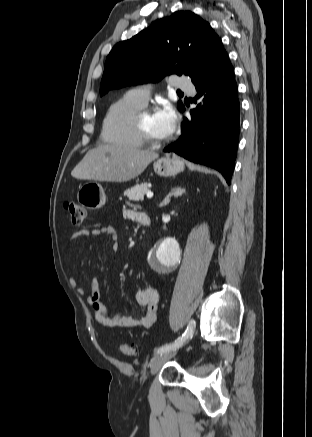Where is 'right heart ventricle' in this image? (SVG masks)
<instances>
[{"label": "right heart ventricle", "instance_id": "right-heart-ventricle-1", "mask_svg": "<svg viewBox=\"0 0 312 437\" xmlns=\"http://www.w3.org/2000/svg\"><path fill=\"white\" fill-rule=\"evenodd\" d=\"M143 106L130 92L112 103L103 119L102 139L112 145L141 147L143 144L134 130L133 117Z\"/></svg>", "mask_w": 312, "mask_h": 437}]
</instances>
